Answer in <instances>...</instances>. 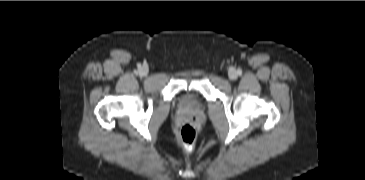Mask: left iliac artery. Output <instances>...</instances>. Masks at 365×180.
Listing matches in <instances>:
<instances>
[{
    "label": "left iliac artery",
    "instance_id": "44dca946",
    "mask_svg": "<svg viewBox=\"0 0 365 180\" xmlns=\"http://www.w3.org/2000/svg\"><path fill=\"white\" fill-rule=\"evenodd\" d=\"M237 73H238V75H241V74H242V70H240V69H239V70L237 71Z\"/></svg>",
    "mask_w": 365,
    "mask_h": 180
}]
</instances>
